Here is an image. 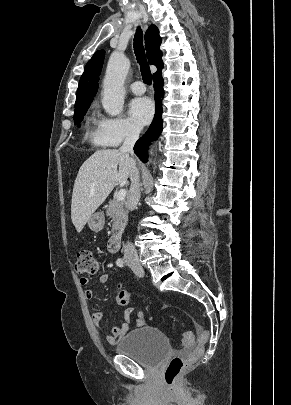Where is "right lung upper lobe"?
I'll return each mask as SVG.
<instances>
[{
    "mask_svg": "<svg viewBox=\"0 0 291 405\" xmlns=\"http://www.w3.org/2000/svg\"><path fill=\"white\" fill-rule=\"evenodd\" d=\"M161 37L159 30L155 25H150L145 34V49L147 51L148 61L151 65L157 67V72L161 73L163 68L162 51L160 50ZM105 56L104 50L97 51L85 66L77 90V98L75 103V111L88 108L93 101L98 90L99 75L102 69V64Z\"/></svg>",
    "mask_w": 291,
    "mask_h": 405,
    "instance_id": "right-lung-upper-lobe-1",
    "label": "right lung upper lobe"
}]
</instances>
